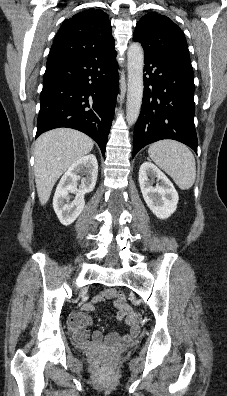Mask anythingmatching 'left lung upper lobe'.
I'll return each mask as SVG.
<instances>
[{
	"label": "left lung upper lobe",
	"mask_w": 227,
	"mask_h": 396,
	"mask_svg": "<svg viewBox=\"0 0 227 396\" xmlns=\"http://www.w3.org/2000/svg\"><path fill=\"white\" fill-rule=\"evenodd\" d=\"M133 40L140 42L144 51L166 53L190 61L183 32L170 18L159 13L150 12L137 22Z\"/></svg>",
	"instance_id": "5c2ea615"
}]
</instances>
